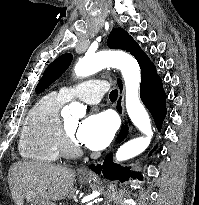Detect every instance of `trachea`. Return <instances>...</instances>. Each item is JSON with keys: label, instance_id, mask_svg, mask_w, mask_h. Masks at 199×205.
Segmentation results:
<instances>
[{"label": "trachea", "instance_id": "trachea-1", "mask_svg": "<svg viewBox=\"0 0 199 205\" xmlns=\"http://www.w3.org/2000/svg\"><path fill=\"white\" fill-rule=\"evenodd\" d=\"M117 97H118V91H117L116 89H115V90H112V91L110 92L109 98H110L111 100H116Z\"/></svg>", "mask_w": 199, "mask_h": 205}]
</instances>
